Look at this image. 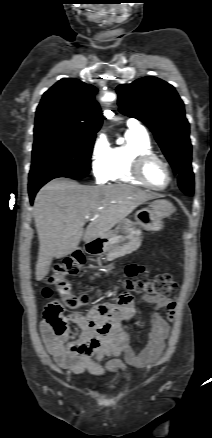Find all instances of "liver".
Instances as JSON below:
<instances>
[{
	"label": "liver",
	"instance_id": "liver-1",
	"mask_svg": "<svg viewBox=\"0 0 212 438\" xmlns=\"http://www.w3.org/2000/svg\"><path fill=\"white\" fill-rule=\"evenodd\" d=\"M159 194L118 184L85 186L67 179H54L36 195L34 221L39 239L36 280L49 272L52 259L74 252L81 238L85 243L104 238L138 206ZM97 216L84 231L86 216Z\"/></svg>",
	"mask_w": 212,
	"mask_h": 438
}]
</instances>
